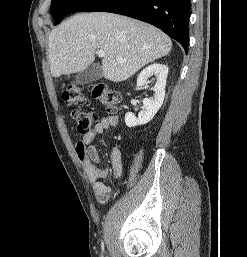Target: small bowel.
Segmentation results:
<instances>
[{
  "mask_svg": "<svg viewBox=\"0 0 247 257\" xmlns=\"http://www.w3.org/2000/svg\"><path fill=\"white\" fill-rule=\"evenodd\" d=\"M117 124L118 117L115 115L102 118L75 146L76 155L89 181L92 183L94 195L101 203L109 200L113 187L103 182L107 178L109 170L105 165H99L101 160L94 141L103 132L115 127ZM110 158L113 179L116 180L121 176L123 169L122 153L118 146L113 147Z\"/></svg>",
  "mask_w": 247,
  "mask_h": 257,
  "instance_id": "c3829d8e",
  "label": "small bowel"
}]
</instances>
